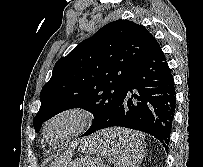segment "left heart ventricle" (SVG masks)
Wrapping results in <instances>:
<instances>
[{
	"label": "left heart ventricle",
	"mask_w": 203,
	"mask_h": 167,
	"mask_svg": "<svg viewBox=\"0 0 203 167\" xmlns=\"http://www.w3.org/2000/svg\"><path fill=\"white\" fill-rule=\"evenodd\" d=\"M64 129H65V124L62 123V124L58 125V126L53 130L51 136H52L53 138L57 137L58 135H60V134L63 132Z\"/></svg>",
	"instance_id": "obj_1"
}]
</instances>
